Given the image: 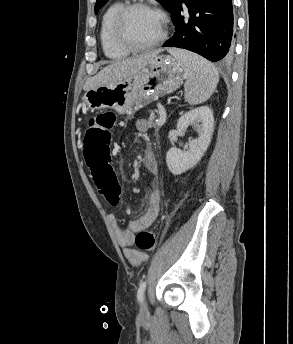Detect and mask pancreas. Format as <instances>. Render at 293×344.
Wrapping results in <instances>:
<instances>
[{
  "label": "pancreas",
  "mask_w": 293,
  "mask_h": 344,
  "mask_svg": "<svg viewBox=\"0 0 293 344\" xmlns=\"http://www.w3.org/2000/svg\"><path fill=\"white\" fill-rule=\"evenodd\" d=\"M147 126H148L149 128L155 127L154 121L150 119V120L147 122Z\"/></svg>",
  "instance_id": "obj_1"
}]
</instances>
